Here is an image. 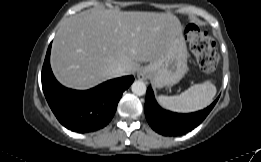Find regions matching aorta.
I'll use <instances>...</instances> for the list:
<instances>
[{
    "label": "aorta",
    "mask_w": 261,
    "mask_h": 162,
    "mask_svg": "<svg viewBox=\"0 0 261 162\" xmlns=\"http://www.w3.org/2000/svg\"><path fill=\"white\" fill-rule=\"evenodd\" d=\"M146 85L143 81H135L131 85V90L134 94L142 96L146 93Z\"/></svg>",
    "instance_id": "obj_1"
}]
</instances>
